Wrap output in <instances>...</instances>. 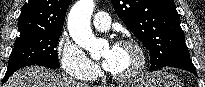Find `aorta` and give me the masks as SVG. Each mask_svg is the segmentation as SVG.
Returning <instances> with one entry per match:
<instances>
[{
    "mask_svg": "<svg viewBox=\"0 0 205 87\" xmlns=\"http://www.w3.org/2000/svg\"><path fill=\"white\" fill-rule=\"evenodd\" d=\"M93 10V0H78L68 15V30L72 39L91 53L99 51L101 46V41L94 36L90 26Z\"/></svg>",
    "mask_w": 205,
    "mask_h": 87,
    "instance_id": "762f6f07",
    "label": "aorta"
}]
</instances>
